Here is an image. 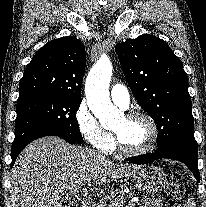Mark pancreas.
Here are the masks:
<instances>
[{
	"mask_svg": "<svg viewBox=\"0 0 206 207\" xmlns=\"http://www.w3.org/2000/svg\"><path fill=\"white\" fill-rule=\"evenodd\" d=\"M125 204V207H135L132 201H125L123 197V192H111L109 195L105 196L98 203L92 207H121Z\"/></svg>",
	"mask_w": 206,
	"mask_h": 207,
	"instance_id": "1",
	"label": "pancreas"
}]
</instances>
